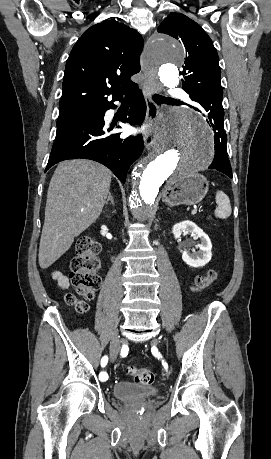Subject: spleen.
Returning a JSON list of instances; mask_svg holds the SVG:
<instances>
[{
  "mask_svg": "<svg viewBox=\"0 0 271 459\" xmlns=\"http://www.w3.org/2000/svg\"><path fill=\"white\" fill-rule=\"evenodd\" d=\"M215 200L217 204L215 216H217V218H229L232 210L228 196H226L224 192H217Z\"/></svg>",
  "mask_w": 271,
  "mask_h": 459,
  "instance_id": "3e777b00",
  "label": "spleen"
}]
</instances>
